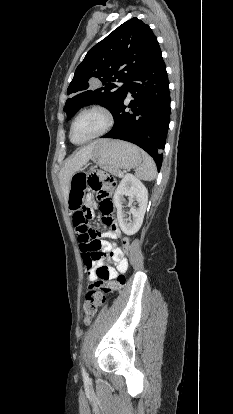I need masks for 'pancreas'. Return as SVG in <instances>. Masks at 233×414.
I'll use <instances>...</instances> for the list:
<instances>
[{"label":"pancreas","mask_w":233,"mask_h":414,"mask_svg":"<svg viewBox=\"0 0 233 414\" xmlns=\"http://www.w3.org/2000/svg\"><path fill=\"white\" fill-rule=\"evenodd\" d=\"M111 173L114 174L115 176H118V177H122L123 176V174H122V172L120 170L112 171Z\"/></svg>","instance_id":"cf45deb5"}]
</instances>
